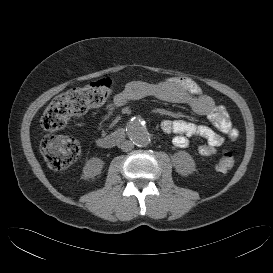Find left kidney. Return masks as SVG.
<instances>
[{"mask_svg": "<svg viewBox=\"0 0 273 273\" xmlns=\"http://www.w3.org/2000/svg\"><path fill=\"white\" fill-rule=\"evenodd\" d=\"M172 162L176 171L183 176L195 171V162L191 155L186 151H178L175 153L172 156Z\"/></svg>", "mask_w": 273, "mask_h": 273, "instance_id": "1", "label": "left kidney"}]
</instances>
